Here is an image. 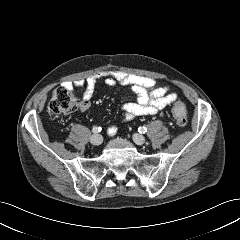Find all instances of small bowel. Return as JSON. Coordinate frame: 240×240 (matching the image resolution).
Returning <instances> with one entry per match:
<instances>
[{"label": "small bowel", "mask_w": 240, "mask_h": 240, "mask_svg": "<svg viewBox=\"0 0 240 240\" xmlns=\"http://www.w3.org/2000/svg\"><path fill=\"white\" fill-rule=\"evenodd\" d=\"M100 79H103L110 87L116 85L127 87L136 95V102L125 103L122 107V117L126 121L134 120L139 116L157 114L177 99V95L168 87L157 86L155 80L150 77L122 71H100L85 80H76L65 84L69 89H84L80 106L82 111L89 109L96 83ZM116 129L117 126L112 125L109 128V134L114 135Z\"/></svg>", "instance_id": "obj_1"}]
</instances>
